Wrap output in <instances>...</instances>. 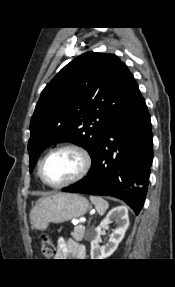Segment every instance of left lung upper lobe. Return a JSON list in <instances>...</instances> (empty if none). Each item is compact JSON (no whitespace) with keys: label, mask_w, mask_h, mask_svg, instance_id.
<instances>
[{"label":"left lung upper lobe","mask_w":175,"mask_h":287,"mask_svg":"<svg viewBox=\"0 0 175 287\" xmlns=\"http://www.w3.org/2000/svg\"><path fill=\"white\" fill-rule=\"evenodd\" d=\"M138 85L114 54L87 52L67 64L44 88L30 123V172L50 144L71 141L93 161L110 124L133 103Z\"/></svg>","instance_id":"obj_1"}]
</instances>
